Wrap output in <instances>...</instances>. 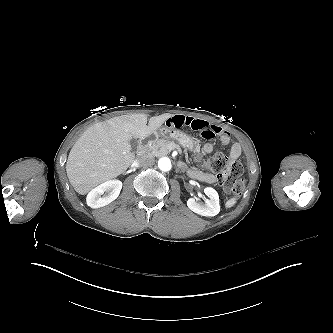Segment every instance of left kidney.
I'll use <instances>...</instances> for the list:
<instances>
[{
  "label": "left kidney",
  "instance_id": "1",
  "mask_svg": "<svg viewBox=\"0 0 333 333\" xmlns=\"http://www.w3.org/2000/svg\"><path fill=\"white\" fill-rule=\"evenodd\" d=\"M204 193L207 196L204 204H199L195 199L190 198L187 200L188 208L202 216H216L220 211L217 191L212 187H206L204 188Z\"/></svg>",
  "mask_w": 333,
  "mask_h": 333
}]
</instances>
